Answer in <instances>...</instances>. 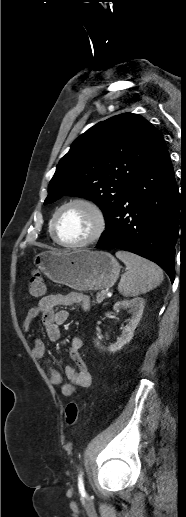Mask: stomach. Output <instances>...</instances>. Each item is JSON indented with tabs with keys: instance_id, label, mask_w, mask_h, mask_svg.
Listing matches in <instances>:
<instances>
[{
	"instance_id": "1",
	"label": "stomach",
	"mask_w": 186,
	"mask_h": 517,
	"mask_svg": "<svg viewBox=\"0 0 186 517\" xmlns=\"http://www.w3.org/2000/svg\"><path fill=\"white\" fill-rule=\"evenodd\" d=\"M34 263L53 282L81 292L112 287L120 273L118 261L104 251H45Z\"/></svg>"
}]
</instances>
